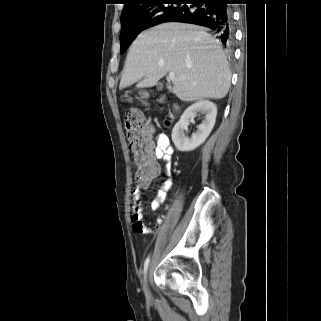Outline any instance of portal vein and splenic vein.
<instances>
[{"instance_id":"portal-vein-and-splenic-vein-1","label":"portal vein and splenic vein","mask_w":321,"mask_h":321,"mask_svg":"<svg viewBox=\"0 0 321 321\" xmlns=\"http://www.w3.org/2000/svg\"><path fill=\"white\" fill-rule=\"evenodd\" d=\"M169 79H171V80H175V79H177V77H176V75H175V73H169Z\"/></svg>"}]
</instances>
